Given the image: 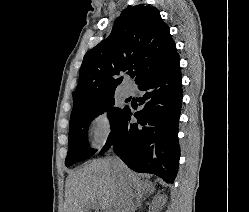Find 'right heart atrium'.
<instances>
[{
	"mask_svg": "<svg viewBox=\"0 0 249 212\" xmlns=\"http://www.w3.org/2000/svg\"><path fill=\"white\" fill-rule=\"evenodd\" d=\"M88 135L91 144L96 149H101L112 137L114 124L112 117L106 110L93 114L88 120Z\"/></svg>",
	"mask_w": 249,
	"mask_h": 212,
	"instance_id": "d8ad5b80",
	"label": "right heart atrium"
}]
</instances>
